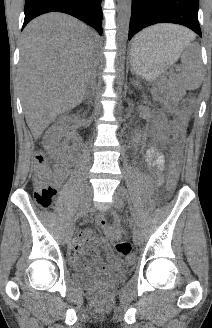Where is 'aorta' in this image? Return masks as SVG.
Returning a JSON list of instances; mask_svg holds the SVG:
<instances>
[{"instance_id": "obj_1", "label": "aorta", "mask_w": 212, "mask_h": 328, "mask_svg": "<svg viewBox=\"0 0 212 328\" xmlns=\"http://www.w3.org/2000/svg\"><path fill=\"white\" fill-rule=\"evenodd\" d=\"M131 3L132 0H118V17H117V23H118V33H117V43L118 47L120 48V51L125 46V43L128 39V31H129V24H130V18H131ZM125 61L124 57L119 56L117 60V69L120 73H123ZM118 84H122V81L119 80Z\"/></svg>"}]
</instances>
